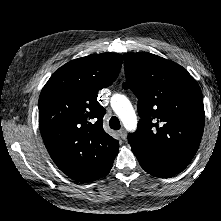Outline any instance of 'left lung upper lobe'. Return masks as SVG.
<instances>
[{
	"label": "left lung upper lobe",
	"instance_id": "1",
	"mask_svg": "<svg viewBox=\"0 0 221 221\" xmlns=\"http://www.w3.org/2000/svg\"><path fill=\"white\" fill-rule=\"evenodd\" d=\"M124 67L123 87L139 100L137 130L128 134L131 147L189 164L205 124L198 83L179 64L147 52L124 54Z\"/></svg>",
	"mask_w": 221,
	"mask_h": 221
}]
</instances>
